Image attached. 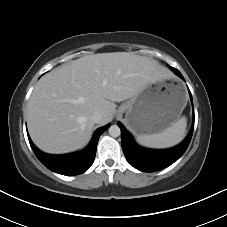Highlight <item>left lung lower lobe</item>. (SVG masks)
Instances as JSON below:
<instances>
[{"instance_id":"0a47b994","label":"left lung lower lobe","mask_w":227,"mask_h":227,"mask_svg":"<svg viewBox=\"0 0 227 227\" xmlns=\"http://www.w3.org/2000/svg\"><path fill=\"white\" fill-rule=\"evenodd\" d=\"M169 67L178 76L184 79L182 74L177 69L171 66ZM190 97L192 101L191 94ZM118 126L121 129L122 149L129 164L140 171L155 172L170 166L184 154L192 138L194 120L191 126V130L185 140L178 146L166 150H151L142 148L135 144L131 134L124 128L121 123H118Z\"/></svg>"}]
</instances>
